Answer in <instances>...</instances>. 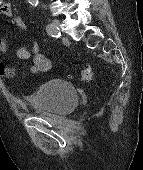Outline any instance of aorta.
Instances as JSON below:
<instances>
[{"mask_svg": "<svg viewBox=\"0 0 143 170\" xmlns=\"http://www.w3.org/2000/svg\"><path fill=\"white\" fill-rule=\"evenodd\" d=\"M28 2L31 6L36 7L39 3V0H28Z\"/></svg>", "mask_w": 143, "mask_h": 170, "instance_id": "762f6f07", "label": "aorta"}]
</instances>
